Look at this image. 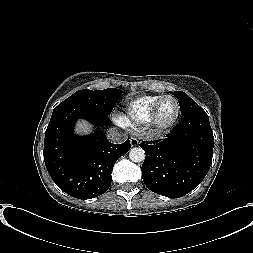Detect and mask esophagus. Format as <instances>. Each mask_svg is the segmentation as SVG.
<instances>
[{"label":"esophagus","instance_id":"34e87169","mask_svg":"<svg viewBox=\"0 0 253 253\" xmlns=\"http://www.w3.org/2000/svg\"><path fill=\"white\" fill-rule=\"evenodd\" d=\"M130 144L132 147L138 146L139 145V140L136 137H130Z\"/></svg>","mask_w":253,"mask_h":253}]
</instances>
